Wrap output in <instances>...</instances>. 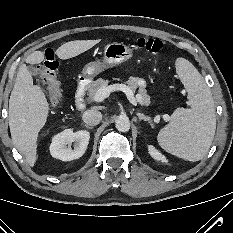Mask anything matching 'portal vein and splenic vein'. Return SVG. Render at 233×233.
<instances>
[{
	"label": "portal vein and splenic vein",
	"instance_id": "portal-vein-and-splenic-vein-1",
	"mask_svg": "<svg viewBox=\"0 0 233 233\" xmlns=\"http://www.w3.org/2000/svg\"><path fill=\"white\" fill-rule=\"evenodd\" d=\"M115 91H122L126 94L127 99L133 106H137V99L134 96L133 91L125 84H113V85H106L102 86L95 94L94 101L95 102H102L106 99L111 92ZM165 121H169L170 117L167 114L162 115ZM160 115H157L156 118H159Z\"/></svg>",
	"mask_w": 233,
	"mask_h": 233
}]
</instances>
